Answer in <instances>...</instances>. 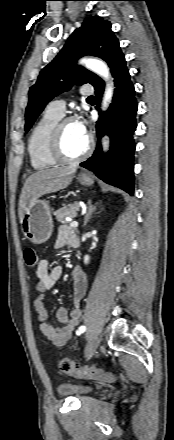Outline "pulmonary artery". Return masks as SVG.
<instances>
[{"label": "pulmonary artery", "instance_id": "pulmonary-artery-1", "mask_svg": "<svg viewBox=\"0 0 174 440\" xmlns=\"http://www.w3.org/2000/svg\"><path fill=\"white\" fill-rule=\"evenodd\" d=\"M94 92V89L90 86H84L81 88V94L89 96ZM66 104L63 100H54L47 105L46 110L52 114L62 117L65 113Z\"/></svg>", "mask_w": 174, "mask_h": 440}]
</instances>
